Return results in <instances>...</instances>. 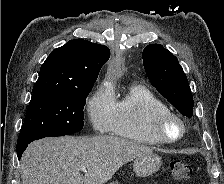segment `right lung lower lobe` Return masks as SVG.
<instances>
[{
  "label": "right lung lower lobe",
  "instance_id": "98d812e1",
  "mask_svg": "<svg viewBox=\"0 0 224 184\" xmlns=\"http://www.w3.org/2000/svg\"><path fill=\"white\" fill-rule=\"evenodd\" d=\"M27 146H28V144H24V145H21V146H17V147H16V151H17L18 159L21 158L22 153H23L24 150L27 148Z\"/></svg>",
  "mask_w": 224,
  "mask_h": 184
}]
</instances>
